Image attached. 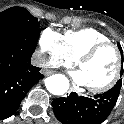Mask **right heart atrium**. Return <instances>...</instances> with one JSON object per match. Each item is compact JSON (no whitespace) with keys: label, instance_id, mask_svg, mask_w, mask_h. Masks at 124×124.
<instances>
[{"label":"right heart atrium","instance_id":"1","mask_svg":"<svg viewBox=\"0 0 124 124\" xmlns=\"http://www.w3.org/2000/svg\"><path fill=\"white\" fill-rule=\"evenodd\" d=\"M38 47L42 53L48 55L45 60L50 66H72V60L66 55L62 36L51 28L44 29L38 38Z\"/></svg>","mask_w":124,"mask_h":124}]
</instances>
